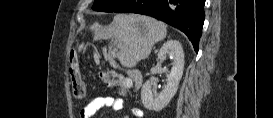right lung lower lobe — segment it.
<instances>
[{"label": "right lung lower lobe", "instance_id": "1", "mask_svg": "<svg viewBox=\"0 0 273 118\" xmlns=\"http://www.w3.org/2000/svg\"><path fill=\"white\" fill-rule=\"evenodd\" d=\"M205 0H130L116 12L155 17L184 32L199 50L204 23Z\"/></svg>", "mask_w": 273, "mask_h": 118}]
</instances>
